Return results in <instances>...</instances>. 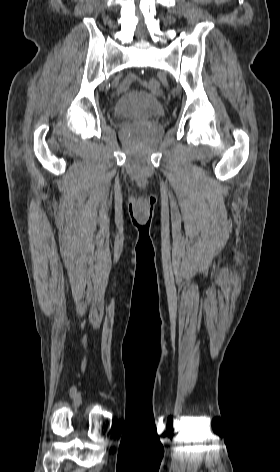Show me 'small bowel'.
Segmentation results:
<instances>
[{
    "label": "small bowel",
    "instance_id": "c3829d8e",
    "mask_svg": "<svg viewBox=\"0 0 280 472\" xmlns=\"http://www.w3.org/2000/svg\"><path fill=\"white\" fill-rule=\"evenodd\" d=\"M137 80H138V78H137L136 75H134V74H129V75L122 81V83H121V85H120V90H121V91H126V90L129 88V86H130L132 83H134L135 81H137Z\"/></svg>",
    "mask_w": 280,
    "mask_h": 472
}]
</instances>
